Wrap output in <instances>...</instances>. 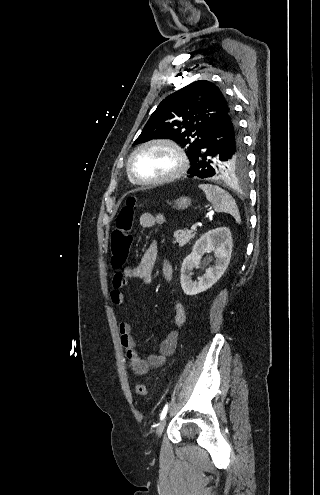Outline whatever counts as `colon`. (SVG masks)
I'll use <instances>...</instances> for the list:
<instances>
[{
    "label": "colon",
    "instance_id": "5ec220e1",
    "mask_svg": "<svg viewBox=\"0 0 320 495\" xmlns=\"http://www.w3.org/2000/svg\"><path fill=\"white\" fill-rule=\"evenodd\" d=\"M135 206L136 199L134 197H129L126 200L125 205L121 208L117 216L116 226L111 233V260L112 265L115 268L124 266L130 255L133 245L131 224L134 217ZM135 390L138 396L143 397L147 394V387L143 383L138 384Z\"/></svg>",
    "mask_w": 320,
    "mask_h": 495
}]
</instances>
